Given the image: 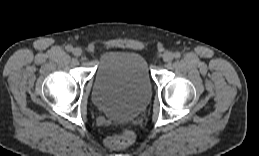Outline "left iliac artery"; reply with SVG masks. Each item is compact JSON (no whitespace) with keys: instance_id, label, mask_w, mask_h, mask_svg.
<instances>
[{"instance_id":"44dca946","label":"left iliac artery","mask_w":259,"mask_h":156,"mask_svg":"<svg viewBox=\"0 0 259 156\" xmlns=\"http://www.w3.org/2000/svg\"><path fill=\"white\" fill-rule=\"evenodd\" d=\"M174 57H175L176 59H179V58L181 57V53H180V52H175V53H174Z\"/></svg>"}]
</instances>
